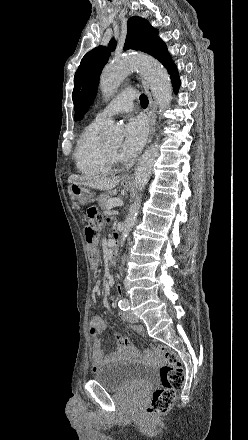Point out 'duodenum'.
I'll list each match as a JSON object with an SVG mask.
<instances>
[{"mask_svg": "<svg viewBox=\"0 0 248 440\" xmlns=\"http://www.w3.org/2000/svg\"><path fill=\"white\" fill-rule=\"evenodd\" d=\"M117 255V239L114 237L111 241V248L109 251V260L110 262H113Z\"/></svg>", "mask_w": 248, "mask_h": 440, "instance_id": "1", "label": "duodenum"}]
</instances>
